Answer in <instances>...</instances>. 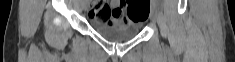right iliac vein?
Instances as JSON below:
<instances>
[{
	"mask_svg": "<svg viewBox=\"0 0 235 62\" xmlns=\"http://www.w3.org/2000/svg\"><path fill=\"white\" fill-rule=\"evenodd\" d=\"M82 7L86 11L88 9V7H89L88 2H84Z\"/></svg>",
	"mask_w": 235,
	"mask_h": 62,
	"instance_id": "right-iliac-vein-1",
	"label": "right iliac vein"
}]
</instances>
